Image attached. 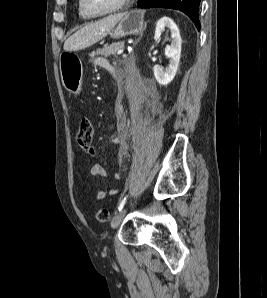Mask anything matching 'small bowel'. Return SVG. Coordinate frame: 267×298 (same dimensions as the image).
Listing matches in <instances>:
<instances>
[{"label": "small bowel", "instance_id": "obj_1", "mask_svg": "<svg viewBox=\"0 0 267 298\" xmlns=\"http://www.w3.org/2000/svg\"><path fill=\"white\" fill-rule=\"evenodd\" d=\"M93 63L96 66H98L110 73L114 72V69H113L111 63L104 57L95 58L93 60ZM151 109H152V111H156L158 109L157 103H152ZM136 112H138V104H137V102H133V104L131 106V115L136 114ZM91 174L93 176L99 177L101 179H106L108 177L107 170L100 164H95L92 166ZM116 193H117L116 188H111L108 192L105 190H98L97 194H96V198H97V200H103L107 196V194L115 195Z\"/></svg>", "mask_w": 267, "mask_h": 298}]
</instances>
